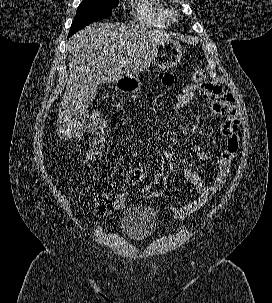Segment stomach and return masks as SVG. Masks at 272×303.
<instances>
[{
  "mask_svg": "<svg viewBox=\"0 0 272 303\" xmlns=\"http://www.w3.org/2000/svg\"><path fill=\"white\" fill-rule=\"evenodd\" d=\"M181 57L182 46L171 39L159 46L154 64L159 69H169L176 66L180 62ZM138 85L139 80L136 77H126L116 82V88L125 93L137 92Z\"/></svg>",
  "mask_w": 272,
  "mask_h": 303,
  "instance_id": "0dacf381",
  "label": "stomach"
}]
</instances>
